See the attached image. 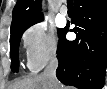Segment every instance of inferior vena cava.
Instances as JSON below:
<instances>
[{"instance_id": "1", "label": "inferior vena cava", "mask_w": 107, "mask_h": 89, "mask_svg": "<svg viewBox=\"0 0 107 89\" xmlns=\"http://www.w3.org/2000/svg\"><path fill=\"white\" fill-rule=\"evenodd\" d=\"M58 67L57 58L51 59L47 67L43 72V76L46 77L50 83V89H56L57 87V77H56V69Z\"/></svg>"}]
</instances>
